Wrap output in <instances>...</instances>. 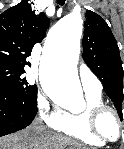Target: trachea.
I'll list each match as a JSON object with an SVG mask.
<instances>
[{
    "instance_id": "1",
    "label": "trachea",
    "mask_w": 124,
    "mask_h": 149,
    "mask_svg": "<svg viewBox=\"0 0 124 149\" xmlns=\"http://www.w3.org/2000/svg\"><path fill=\"white\" fill-rule=\"evenodd\" d=\"M58 4L61 5V6L64 5L65 4V0H58Z\"/></svg>"
}]
</instances>
